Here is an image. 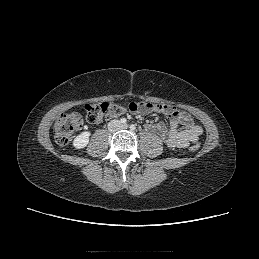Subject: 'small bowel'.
Here are the masks:
<instances>
[{
    "mask_svg": "<svg viewBox=\"0 0 259 259\" xmlns=\"http://www.w3.org/2000/svg\"><path fill=\"white\" fill-rule=\"evenodd\" d=\"M129 109L142 113L157 111L165 114L169 119L168 127L163 123H157L148 124L146 128L159 135L169 147L185 148L189 143L196 142L203 133V128L196 124L188 113L173 106L138 101L130 103ZM181 126L183 129H180Z\"/></svg>",
    "mask_w": 259,
    "mask_h": 259,
    "instance_id": "small-bowel-1",
    "label": "small bowel"
}]
</instances>
